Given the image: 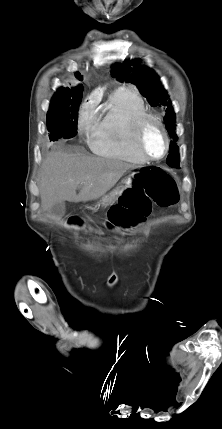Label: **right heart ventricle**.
Listing matches in <instances>:
<instances>
[{
    "label": "right heart ventricle",
    "mask_w": 222,
    "mask_h": 429,
    "mask_svg": "<svg viewBox=\"0 0 222 429\" xmlns=\"http://www.w3.org/2000/svg\"><path fill=\"white\" fill-rule=\"evenodd\" d=\"M145 104L136 90L121 87L109 97L104 117L92 132L89 144L98 155L143 164L147 160L134 145V122L145 112Z\"/></svg>",
    "instance_id": "right-heart-ventricle-1"
}]
</instances>
